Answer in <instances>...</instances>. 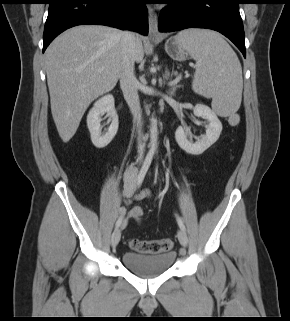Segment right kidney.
<instances>
[{
	"label": "right kidney",
	"mask_w": 290,
	"mask_h": 321,
	"mask_svg": "<svg viewBox=\"0 0 290 321\" xmlns=\"http://www.w3.org/2000/svg\"><path fill=\"white\" fill-rule=\"evenodd\" d=\"M107 114L111 124L105 134L101 133V116ZM118 116L115 111L114 97L105 95L98 99L87 115V127L90 132L91 141L97 148H104L115 137L118 131Z\"/></svg>",
	"instance_id": "ca27d5eb"
}]
</instances>
